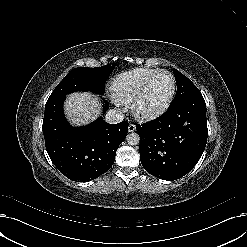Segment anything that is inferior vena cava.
I'll return each mask as SVG.
<instances>
[{
    "instance_id": "602c4592",
    "label": "inferior vena cava",
    "mask_w": 247,
    "mask_h": 247,
    "mask_svg": "<svg viewBox=\"0 0 247 247\" xmlns=\"http://www.w3.org/2000/svg\"><path fill=\"white\" fill-rule=\"evenodd\" d=\"M106 121L110 124H116L124 119V114L120 109H111L106 113Z\"/></svg>"
}]
</instances>
